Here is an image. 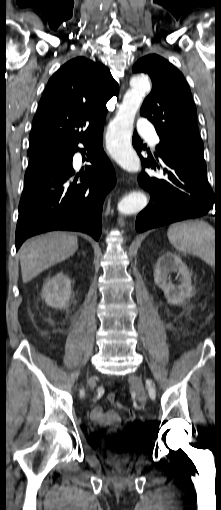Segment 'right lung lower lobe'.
<instances>
[{"mask_svg": "<svg viewBox=\"0 0 221 510\" xmlns=\"http://www.w3.org/2000/svg\"><path fill=\"white\" fill-rule=\"evenodd\" d=\"M103 125L72 144L62 159L28 167L19 204L16 250L29 237L51 231H80L98 240L105 195L114 187V168L102 146ZM81 142L91 151V166H72Z\"/></svg>", "mask_w": 221, "mask_h": 510, "instance_id": "obj_1", "label": "right lung lower lobe"}]
</instances>
